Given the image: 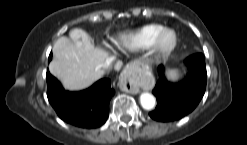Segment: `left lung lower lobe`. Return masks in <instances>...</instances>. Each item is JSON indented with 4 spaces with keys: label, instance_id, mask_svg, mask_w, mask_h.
Returning <instances> with one entry per match:
<instances>
[{
    "label": "left lung lower lobe",
    "instance_id": "0a47b994",
    "mask_svg": "<svg viewBox=\"0 0 247 145\" xmlns=\"http://www.w3.org/2000/svg\"><path fill=\"white\" fill-rule=\"evenodd\" d=\"M186 64L191 66V71L178 84L168 82L164 76V67H158L160 78L152 91L158 104L149 113L151 118L162 122L178 120L192 112L200 102L207 81L205 57L203 54L192 55Z\"/></svg>",
    "mask_w": 247,
    "mask_h": 145
}]
</instances>
